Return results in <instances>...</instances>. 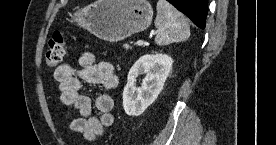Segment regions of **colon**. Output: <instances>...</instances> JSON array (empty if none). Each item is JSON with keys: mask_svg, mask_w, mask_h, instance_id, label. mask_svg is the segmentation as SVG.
Here are the masks:
<instances>
[{"mask_svg": "<svg viewBox=\"0 0 276 145\" xmlns=\"http://www.w3.org/2000/svg\"><path fill=\"white\" fill-rule=\"evenodd\" d=\"M66 52V40L62 33L55 32L49 40L46 50V65L56 67L62 61Z\"/></svg>", "mask_w": 276, "mask_h": 145, "instance_id": "1", "label": "colon"}]
</instances>
